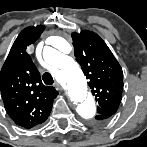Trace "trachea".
<instances>
[{"label":"trachea","mask_w":147,"mask_h":147,"mask_svg":"<svg viewBox=\"0 0 147 147\" xmlns=\"http://www.w3.org/2000/svg\"><path fill=\"white\" fill-rule=\"evenodd\" d=\"M43 81L47 85H52L54 83L52 75L50 73H48V72H45L43 74Z\"/></svg>","instance_id":"3493384b"}]
</instances>
